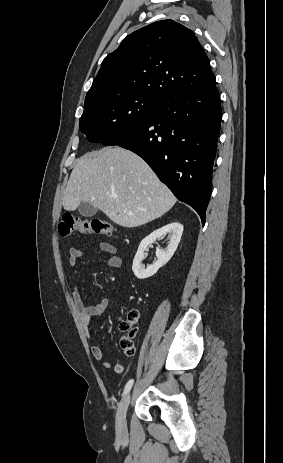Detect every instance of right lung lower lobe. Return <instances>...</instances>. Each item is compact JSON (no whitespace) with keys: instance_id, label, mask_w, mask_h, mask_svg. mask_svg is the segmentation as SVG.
I'll list each match as a JSON object with an SVG mask.
<instances>
[{"instance_id":"1","label":"right lung lower lobe","mask_w":283,"mask_h":463,"mask_svg":"<svg viewBox=\"0 0 283 463\" xmlns=\"http://www.w3.org/2000/svg\"><path fill=\"white\" fill-rule=\"evenodd\" d=\"M221 115L215 82L158 102L150 117L103 145L138 154L180 201L197 211L204 225Z\"/></svg>"}]
</instances>
